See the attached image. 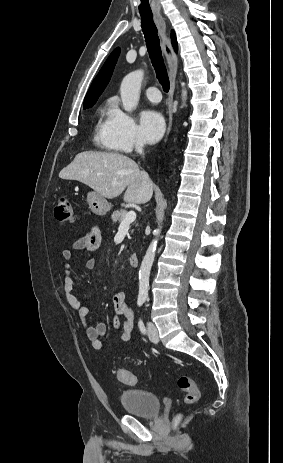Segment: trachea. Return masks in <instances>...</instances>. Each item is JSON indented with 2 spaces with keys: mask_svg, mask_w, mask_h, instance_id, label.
Returning <instances> with one entry per match:
<instances>
[{
  "mask_svg": "<svg viewBox=\"0 0 283 463\" xmlns=\"http://www.w3.org/2000/svg\"><path fill=\"white\" fill-rule=\"evenodd\" d=\"M141 27L152 65L156 71L157 78L162 85L163 90L167 93L170 88V83L161 53L160 39L157 34V27L153 21L152 15L141 14Z\"/></svg>",
  "mask_w": 283,
  "mask_h": 463,
  "instance_id": "1",
  "label": "trachea"
}]
</instances>
